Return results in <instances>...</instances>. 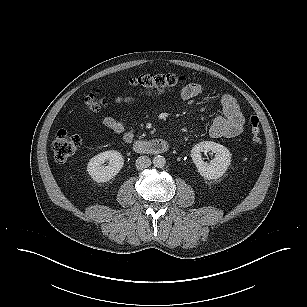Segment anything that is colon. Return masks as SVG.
Wrapping results in <instances>:
<instances>
[{
  "label": "colon",
  "mask_w": 307,
  "mask_h": 307,
  "mask_svg": "<svg viewBox=\"0 0 307 307\" xmlns=\"http://www.w3.org/2000/svg\"><path fill=\"white\" fill-rule=\"evenodd\" d=\"M185 83V79L174 74H145L133 78L131 84L145 94H157L175 90ZM106 105V101L98 95H90L84 101V108L88 112H95ZM251 143L258 147L262 143L259 119L251 116L249 119ZM81 145L78 135L60 130L52 144L54 158L63 162L73 155Z\"/></svg>",
  "instance_id": "colon-1"
}]
</instances>
